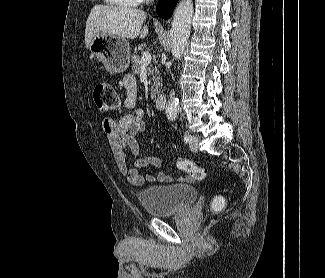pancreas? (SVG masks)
I'll use <instances>...</instances> for the list:
<instances>
[{"label": "pancreas", "mask_w": 325, "mask_h": 278, "mask_svg": "<svg viewBox=\"0 0 325 278\" xmlns=\"http://www.w3.org/2000/svg\"><path fill=\"white\" fill-rule=\"evenodd\" d=\"M131 63H132V72L133 74H139L141 72V69H142V66H141V58L134 54L132 56V60H131ZM146 71H147V75L150 77V79L153 81V85L151 86V95L152 97H155L157 91H158V88L160 86V79L159 77H156V74L158 73V70L156 68H154L153 66H148L146 68Z\"/></svg>", "instance_id": "pancreas-1"}]
</instances>
